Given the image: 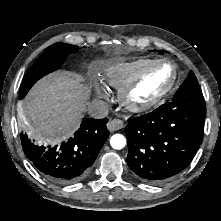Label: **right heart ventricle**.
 Here are the masks:
<instances>
[{"label":"right heart ventricle","mask_w":221,"mask_h":221,"mask_svg":"<svg viewBox=\"0 0 221 221\" xmlns=\"http://www.w3.org/2000/svg\"><path fill=\"white\" fill-rule=\"evenodd\" d=\"M152 61V59L140 58L130 62L109 64L102 70V80L107 86L120 89Z\"/></svg>","instance_id":"1"}]
</instances>
